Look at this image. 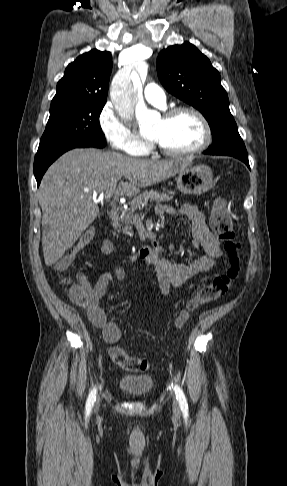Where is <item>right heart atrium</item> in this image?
<instances>
[{
  "label": "right heart atrium",
  "mask_w": 287,
  "mask_h": 486,
  "mask_svg": "<svg viewBox=\"0 0 287 486\" xmlns=\"http://www.w3.org/2000/svg\"><path fill=\"white\" fill-rule=\"evenodd\" d=\"M98 121L102 134L114 149L131 155L142 153L147 149V143L115 111L111 104L104 105Z\"/></svg>",
  "instance_id": "1"
}]
</instances>
